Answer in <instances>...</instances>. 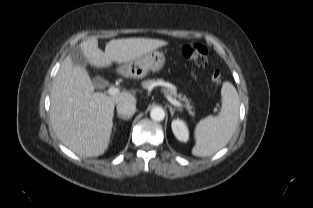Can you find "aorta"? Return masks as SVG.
I'll list each match as a JSON object with an SVG mask.
<instances>
[{"label": "aorta", "instance_id": "762f6f07", "mask_svg": "<svg viewBox=\"0 0 313 208\" xmlns=\"http://www.w3.org/2000/svg\"><path fill=\"white\" fill-rule=\"evenodd\" d=\"M150 117L155 121H162L165 118V111L161 107H154L150 111Z\"/></svg>", "mask_w": 313, "mask_h": 208}]
</instances>
